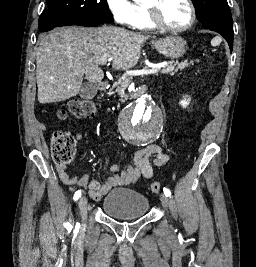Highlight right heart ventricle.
I'll use <instances>...</instances> for the list:
<instances>
[{"label":"right heart ventricle","mask_w":256,"mask_h":267,"mask_svg":"<svg viewBox=\"0 0 256 267\" xmlns=\"http://www.w3.org/2000/svg\"><path fill=\"white\" fill-rule=\"evenodd\" d=\"M136 7L144 17L147 10V0H136Z\"/></svg>","instance_id":"obj_1"}]
</instances>
